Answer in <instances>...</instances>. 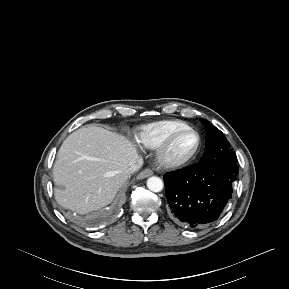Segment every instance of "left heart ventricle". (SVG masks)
I'll list each match as a JSON object with an SVG mask.
<instances>
[{"instance_id": "1", "label": "left heart ventricle", "mask_w": 289, "mask_h": 289, "mask_svg": "<svg viewBox=\"0 0 289 289\" xmlns=\"http://www.w3.org/2000/svg\"><path fill=\"white\" fill-rule=\"evenodd\" d=\"M197 143V138L192 133H187L179 137L171 149L174 157H183L193 151Z\"/></svg>"}]
</instances>
